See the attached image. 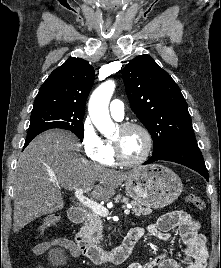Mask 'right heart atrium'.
<instances>
[{
  "instance_id": "right-heart-atrium-1",
  "label": "right heart atrium",
  "mask_w": 221,
  "mask_h": 268,
  "mask_svg": "<svg viewBox=\"0 0 221 268\" xmlns=\"http://www.w3.org/2000/svg\"><path fill=\"white\" fill-rule=\"evenodd\" d=\"M81 144L84 154L94 162H100L105 154V141L98 134L93 122L86 117L82 122Z\"/></svg>"
}]
</instances>
